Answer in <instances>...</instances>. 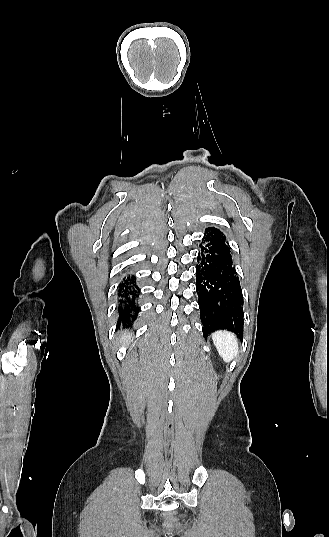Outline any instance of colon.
I'll use <instances>...</instances> for the list:
<instances>
[{
  "instance_id": "5ec220e1",
  "label": "colon",
  "mask_w": 329,
  "mask_h": 537,
  "mask_svg": "<svg viewBox=\"0 0 329 537\" xmlns=\"http://www.w3.org/2000/svg\"><path fill=\"white\" fill-rule=\"evenodd\" d=\"M178 513L175 510L166 509L162 512V517L167 520L166 525L170 528L176 525L175 518H177Z\"/></svg>"
}]
</instances>
